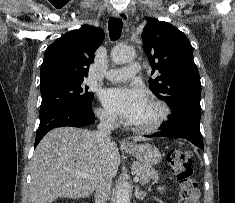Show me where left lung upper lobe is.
<instances>
[{
  "label": "left lung upper lobe",
  "mask_w": 235,
  "mask_h": 203,
  "mask_svg": "<svg viewBox=\"0 0 235 203\" xmlns=\"http://www.w3.org/2000/svg\"><path fill=\"white\" fill-rule=\"evenodd\" d=\"M152 74L151 91L164 100L176 115L187 109L201 112V82L193 60V49L188 38L176 27L157 19H150L141 35Z\"/></svg>",
  "instance_id": "1"
}]
</instances>
